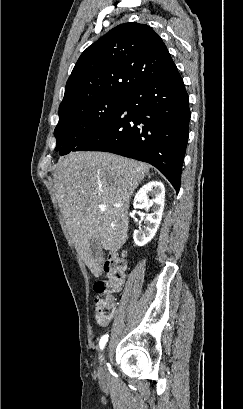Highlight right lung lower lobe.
<instances>
[{
  "instance_id": "98d812e1",
  "label": "right lung lower lobe",
  "mask_w": 243,
  "mask_h": 409,
  "mask_svg": "<svg viewBox=\"0 0 243 409\" xmlns=\"http://www.w3.org/2000/svg\"><path fill=\"white\" fill-rule=\"evenodd\" d=\"M189 97L176 70L138 86L107 127L73 151H104L152 164L176 192L189 136Z\"/></svg>"
}]
</instances>
